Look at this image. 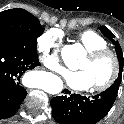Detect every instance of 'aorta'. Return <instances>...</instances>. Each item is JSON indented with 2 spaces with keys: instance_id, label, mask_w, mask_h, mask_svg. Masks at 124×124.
Masks as SVG:
<instances>
[{
  "instance_id": "1",
  "label": "aorta",
  "mask_w": 124,
  "mask_h": 124,
  "mask_svg": "<svg viewBox=\"0 0 124 124\" xmlns=\"http://www.w3.org/2000/svg\"><path fill=\"white\" fill-rule=\"evenodd\" d=\"M83 54V50L80 49L79 53L71 52V56L74 58H79ZM63 89V82L57 76H51L44 84L43 90L49 94H58Z\"/></svg>"
}]
</instances>
